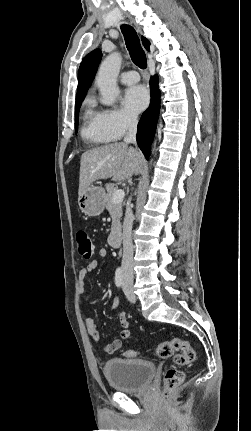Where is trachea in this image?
<instances>
[{
    "instance_id": "obj_1",
    "label": "trachea",
    "mask_w": 251,
    "mask_h": 431,
    "mask_svg": "<svg viewBox=\"0 0 251 431\" xmlns=\"http://www.w3.org/2000/svg\"><path fill=\"white\" fill-rule=\"evenodd\" d=\"M121 31L133 63L139 68L145 69L147 67L146 55L135 29L130 25H122Z\"/></svg>"
}]
</instances>
